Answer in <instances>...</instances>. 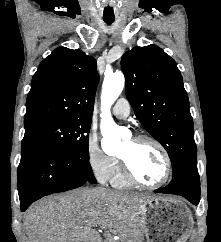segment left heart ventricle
<instances>
[{"label":"left heart ventricle","mask_w":221,"mask_h":242,"mask_svg":"<svg viewBox=\"0 0 221 242\" xmlns=\"http://www.w3.org/2000/svg\"><path fill=\"white\" fill-rule=\"evenodd\" d=\"M119 156L129 162L133 172L144 182H158L164 175L165 162L159 149L150 142L127 140Z\"/></svg>","instance_id":"b2bd125f"}]
</instances>
